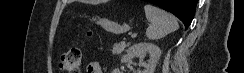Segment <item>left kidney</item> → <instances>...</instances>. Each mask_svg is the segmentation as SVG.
<instances>
[{"instance_id":"left-kidney-1","label":"left kidney","mask_w":244,"mask_h":73,"mask_svg":"<svg viewBox=\"0 0 244 73\" xmlns=\"http://www.w3.org/2000/svg\"><path fill=\"white\" fill-rule=\"evenodd\" d=\"M146 54L149 55V59L147 63L143 64L144 70L139 71V73H154L161 56V50L157 45L152 43L142 42L132 45L122 57L121 63H126L136 56H144ZM114 73H120L119 68L115 69Z\"/></svg>"}]
</instances>
